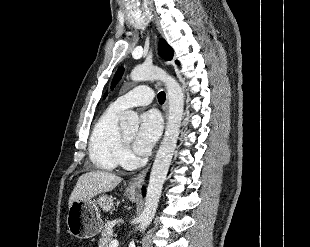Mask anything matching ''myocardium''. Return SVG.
I'll list each match as a JSON object with an SVG mask.
<instances>
[{
    "mask_svg": "<svg viewBox=\"0 0 310 247\" xmlns=\"http://www.w3.org/2000/svg\"><path fill=\"white\" fill-rule=\"evenodd\" d=\"M122 139H123L124 146L129 145L130 141L124 135H122Z\"/></svg>",
    "mask_w": 310,
    "mask_h": 247,
    "instance_id": "obj_1",
    "label": "myocardium"
}]
</instances>
